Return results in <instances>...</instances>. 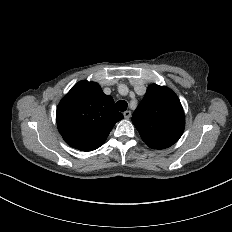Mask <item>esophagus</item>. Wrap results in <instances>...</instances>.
Instances as JSON below:
<instances>
[{
    "instance_id": "34e87169",
    "label": "esophagus",
    "mask_w": 232,
    "mask_h": 232,
    "mask_svg": "<svg viewBox=\"0 0 232 232\" xmlns=\"http://www.w3.org/2000/svg\"><path fill=\"white\" fill-rule=\"evenodd\" d=\"M123 115L126 119H129L131 117V111L130 110L124 111Z\"/></svg>"
}]
</instances>
